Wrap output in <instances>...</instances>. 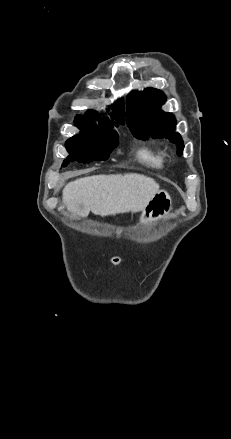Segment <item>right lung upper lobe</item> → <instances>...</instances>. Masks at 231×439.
Instances as JSON below:
<instances>
[{"label":"right lung upper lobe","mask_w":231,"mask_h":439,"mask_svg":"<svg viewBox=\"0 0 231 439\" xmlns=\"http://www.w3.org/2000/svg\"><path fill=\"white\" fill-rule=\"evenodd\" d=\"M112 110L113 113H111V116H113V119L117 120L120 124H124L125 121V117H124V102L122 99H120L117 103H115L112 106ZM98 119L100 126L102 127H107L111 126L113 127V124L109 123L108 119H101V117L99 116V114L93 110H90L86 113L85 116L82 115H78L76 117V120H82V121H88V122H92V120ZM115 125L117 126V123H115Z\"/></svg>","instance_id":"obj_1"}]
</instances>
